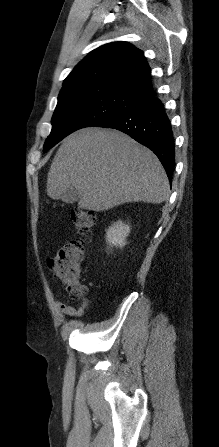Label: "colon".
<instances>
[{"label":"colon","mask_w":219,"mask_h":447,"mask_svg":"<svg viewBox=\"0 0 219 447\" xmlns=\"http://www.w3.org/2000/svg\"><path fill=\"white\" fill-rule=\"evenodd\" d=\"M70 217L81 234L89 233L95 223L94 215L84 209L73 210ZM84 253V240H70L59 247L48 261L54 278L66 287L74 300L81 299L86 294V288L80 281V263L84 258Z\"/></svg>","instance_id":"5ec220e1"}]
</instances>
